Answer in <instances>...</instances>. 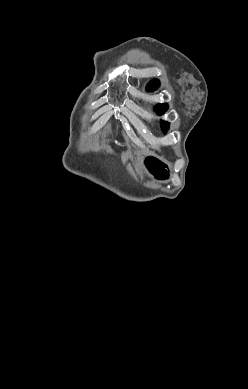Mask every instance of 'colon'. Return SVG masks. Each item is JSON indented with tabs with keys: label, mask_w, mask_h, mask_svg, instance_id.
<instances>
[{
	"label": "colon",
	"mask_w": 248,
	"mask_h": 389,
	"mask_svg": "<svg viewBox=\"0 0 248 389\" xmlns=\"http://www.w3.org/2000/svg\"><path fill=\"white\" fill-rule=\"evenodd\" d=\"M145 162L148 167H150L158 177H162L163 175V167L165 163L163 161H159L158 157H146Z\"/></svg>",
	"instance_id": "1"
}]
</instances>
